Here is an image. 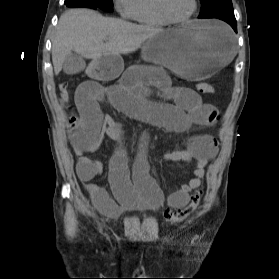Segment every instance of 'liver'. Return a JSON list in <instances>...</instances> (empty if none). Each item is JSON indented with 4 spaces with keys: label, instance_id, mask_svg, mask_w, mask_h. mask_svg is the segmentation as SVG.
Wrapping results in <instances>:
<instances>
[{
    "label": "liver",
    "instance_id": "1",
    "mask_svg": "<svg viewBox=\"0 0 279 279\" xmlns=\"http://www.w3.org/2000/svg\"><path fill=\"white\" fill-rule=\"evenodd\" d=\"M162 31L104 17L90 9H70L61 15L52 41L54 73H60L72 51L94 62L103 56L135 52Z\"/></svg>",
    "mask_w": 279,
    "mask_h": 279
}]
</instances>
